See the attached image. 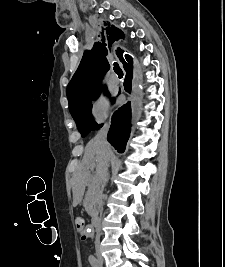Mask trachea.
Segmentation results:
<instances>
[{"label":"trachea","instance_id":"3493384b","mask_svg":"<svg viewBox=\"0 0 225 267\" xmlns=\"http://www.w3.org/2000/svg\"><path fill=\"white\" fill-rule=\"evenodd\" d=\"M114 71L116 72V74L118 75H123V71L121 70V68L119 67L118 63H114Z\"/></svg>","mask_w":225,"mask_h":267}]
</instances>
